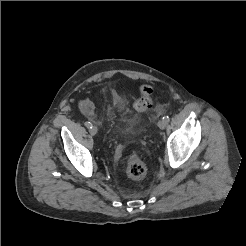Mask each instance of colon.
<instances>
[{
	"instance_id": "colon-1",
	"label": "colon",
	"mask_w": 246,
	"mask_h": 246,
	"mask_svg": "<svg viewBox=\"0 0 246 246\" xmlns=\"http://www.w3.org/2000/svg\"><path fill=\"white\" fill-rule=\"evenodd\" d=\"M141 95L135 101L134 108L137 111H145L152 105L153 89L148 85H143L140 88ZM126 173L133 180L143 179L147 173L145 163L137 156L131 155L127 161Z\"/></svg>"
}]
</instances>
